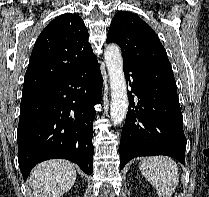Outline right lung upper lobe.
<instances>
[{
  "label": "right lung upper lobe",
  "instance_id": "right-lung-upper-lobe-1",
  "mask_svg": "<svg viewBox=\"0 0 209 197\" xmlns=\"http://www.w3.org/2000/svg\"><path fill=\"white\" fill-rule=\"evenodd\" d=\"M88 36L77 14H62L51 21L34 45L23 92L56 82L95 58Z\"/></svg>",
  "mask_w": 209,
  "mask_h": 197
}]
</instances>
